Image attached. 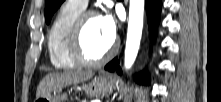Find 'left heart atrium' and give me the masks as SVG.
I'll use <instances>...</instances> for the list:
<instances>
[{
  "label": "left heart atrium",
  "instance_id": "1",
  "mask_svg": "<svg viewBox=\"0 0 221 102\" xmlns=\"http://www.w3.org/2000/svg\"><path fill=\"white\" fill-rule=\"evenodd\" d=\"M101 30L104 36L113 42L116 36V22L112 14L107 13L100 18Z\"/></svg>",
  "mask_w": 221,
  "mask_h": 102
}]
</instances>
